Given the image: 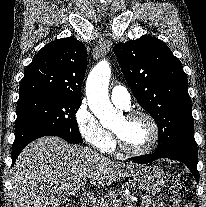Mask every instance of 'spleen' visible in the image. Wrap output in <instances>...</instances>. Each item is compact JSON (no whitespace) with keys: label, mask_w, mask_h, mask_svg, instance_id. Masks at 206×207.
I'll return each instance as SVG.
<instances>
[{"label":"spleen","mask_w":206,"mask_h":207,"mask_svg":"<svg viewBox=\"0 0 206 207\" xmlns=\"http://www.w3.org/2000/svg\"><path fill=\"white\" fill-rule=\"evenodd\" d=\"M186 207H195V206H194L193 203L190 202V203H188V204L186 205Z\"/></svg>","instance_id":"3e777b00"}]
</instances>
